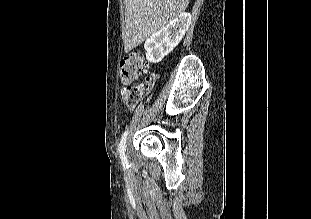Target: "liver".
<instances>
[{
	"instance_id": "6515ba94",
	"label": "liver",
	"mask_w": 311,
	"mask_h": 219,
	"mask_svg": "<svg viewBox=\"0 0 311 219\" xmlns=\"http://www.w3.org/2000/svg\"><path fill=\"white\" fill-rule=\"evenodd\" d=\"M124 3L127 53L181 15L189 0H124Z\"/></svg>"
}]
</instances>
